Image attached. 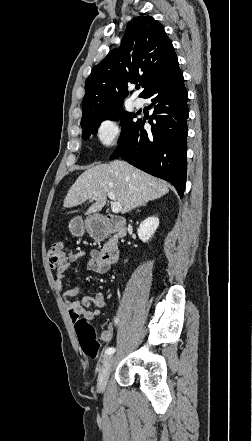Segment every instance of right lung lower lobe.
Here are the masks:
<instances>
[{
    "label": "right lung lower lobe",
    "instance_id": "98d812e1",
    "mask_svg": "<svg viewBox=\"0 0 252 441\" xmlns=\"http://www.w3.org/2000/svg\"><path fill=\"white\" fill-rule=\"evenodd\" d=\"M150 98L151 130L138 119L110 159L122 157L133 166L172 183L182 197L187 170L188 93L178 60L143 96Z\"/></svg>",
    "mask_w": 252,
    "mask_h": 441
}]
</instances>
